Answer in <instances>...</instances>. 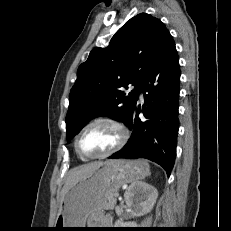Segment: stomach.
<instances>
[{"mask_svg": "<svg viewBox=\"0 0 231 231\" xmlns=\"http://www.w3.org/2000/svg\"><path fill=\"white\" fill-rule=\"evenodd\" d=\"M149 175L145 160H110L92 175L73 185L65 195L56 217L55 230L85 228L94 212L108 208L110 197L126 183L136 182Z\"/></svg>", "mask_w": 231, "mask_h": 231, "instance_id": "stomach-1", "label": "stomach"}]
</instances>
